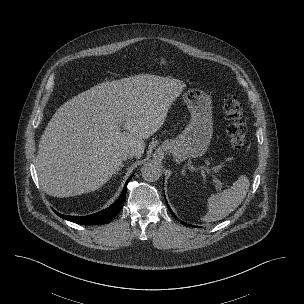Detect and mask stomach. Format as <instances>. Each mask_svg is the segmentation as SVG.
<instances>
[{"label":"stomach","mask_w":304,"mask_h":304,"mask_svg":"<svg viewBox=\"0 0 304 304\" xmlns=\"http://www.w3.org/2000/svg\"><path fill=\"white\" fill-rule=\"evenodd\" d=\"M183 100L190 111L191 120L176 139L162 143V148L171 153L177 162L202 156L210 145L213 133L210 96L193 88L183 94Z\"/></svg>","instance_id":"stomach-1"}]
</instances>
